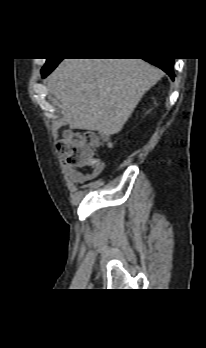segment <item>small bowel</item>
Instances as JSON below:
<instances>
[{
	"label": "small bowel",
	"instance_id": "1",
	"mask_svg": "<svg viewBox=\"0 0 206 348\" xmlns=\"http://www.w3.org/2000/svg\"><path fill=\"white\" fill-rule=\"evenodd\" d=\"M64 168L72 182L76 184H84L99 177L105 169V164L103 161L95 160L92 163L79 168L72 167L69 164H64Z\"/></svg>",
	"mask_w": 206,
	"mask_h": 348
}]
</instances>
